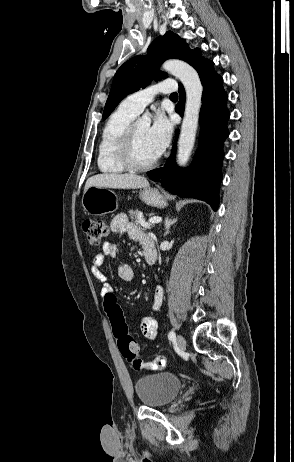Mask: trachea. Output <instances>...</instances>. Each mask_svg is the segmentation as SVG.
I'll return each instance as SVG.
<instances>
[{"instance_id": "trachea-1", "label": "trachea", "mask_w": 294, "mask_h": 462, "mask_svg": "<svg viewBox=\"0 0 294 462\" xmlns=\"http://www.w3.org/2000/svg\"><path fill=\"white\" fill-rule=\"evenodd\" d=\"M170 98L177 99V98H178V94H177V93H172V94L170 95Z\"/></svg>"}]
</instances>
